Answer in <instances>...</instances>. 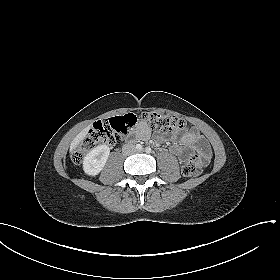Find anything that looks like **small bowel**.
<instances>
[{
  "label": "small bowel",
  "instance_id": "small-bowel-1",
  "mask_svg": "<svg viewBox=\"0 0 280 280\" xmlns=\"http://www.w3.org/2000/svg\"><path fill=\"white\" fill-rule=\"evenodd\" d=\"M150 136V131L144 123L138 124L135 129L134 137L141 140H146ZM182 146H172L171 152L177 156L184 154L185 148H195L200 153H209L210 158V147L202 135L197 130H189L183 134L181 138Z\"/></svg>",
  "mask_w": 280,
  "mask_h": 280
}]
</instances>
